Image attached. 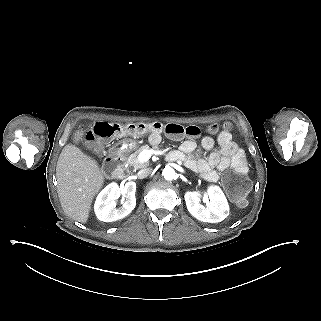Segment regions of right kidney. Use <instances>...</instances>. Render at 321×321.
Returning <instances> with one entry per match:
<instances>
[{
	"mask_svg": "<svg viewBox=\"0 0 321 321\" xmlns=\"http://www.w3.org/2000/svg\"><path fill=\"white\" fill-rule=\"evenodd\" d=\"M136 183L127 182L122 188L117 183L112 182L107 185L97 196L94 211L97 218L104 222H112L124 218L136 206ZM126 200L122 207L116 208V202L120 195Z\"/></svg>",
	"mask_w": 321,
	"mask_h": 321,
	"instance_id": "obj_1",
	"label": "right kidney"
}]
</instances>
